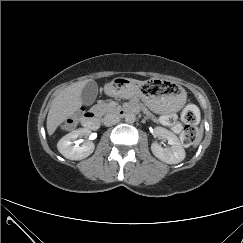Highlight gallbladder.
Wrapping results in <instances>:
<instances>
[{"mask_svg": "<svg viewBox=\"0 0 243 243\" xmlns=\"http://www.w3.org/2000/svg\"><path fill=\"white\" fill-rule=\"evenodd\" d=\"M98 94V85L95 81H89L82 90L81 98L85 105H91Z\"/></svg>", "mask_w": 243, "mask_h": 243, "instance_id": "1", "label": "gallbladder"}]
</instances>
